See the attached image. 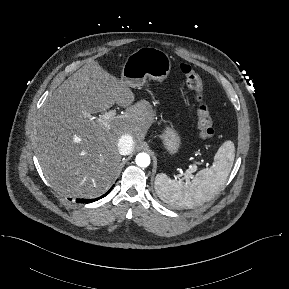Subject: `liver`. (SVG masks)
Listing matches in <instances>:
<instances>
[{
    "instance_id": "1",
    "label": "liver",
    "mask_w": 289,
    "mask_h": 289,
    "mask_svg": "<svg viewBox=\"0 0 289 289\" xmlns=\"http://www.w3.org/2000/svg\"><path fill=\"white\" fill-rule=\"evenodd\" d=\"M130 86L89 60L45 100L33 137L36 155L50 186L62 196L94 198L116 175L123 135L139 145L153 123L151 105L135 103ZM114 104L126 112L107 126L93 116Z\"/></svg>"
}]
</instances>
